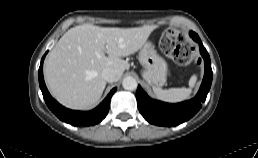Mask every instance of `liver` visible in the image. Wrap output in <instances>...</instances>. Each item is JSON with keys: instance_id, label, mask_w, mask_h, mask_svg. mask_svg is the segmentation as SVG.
Returning a JSON list of instances; mask_svg holds the SVG:
<instances>
[{"instance_id": "liver-1", "label": "liver", "mask_w": 258, "mask_h": 158, "mask_svg": "<svg viewBox=\"0 0 258 158\" xmlns=\"http://www.w3.org/2000/svg\"><path fill=\"white\" fill-rule=\"evenodd\" d=\"M154 29L155 26L105 28L92 24L69 29L45 62V81L52 96L71 109L93 106L106 87L102 70L113 69L119 80L128 68L121 57L141 49Z\"/></svg>"}]
</instances>
